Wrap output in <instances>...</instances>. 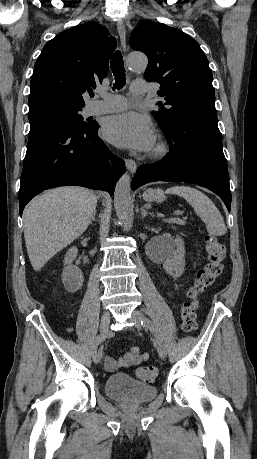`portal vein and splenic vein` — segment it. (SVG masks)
<instances>
[{"mask_svg": "<svg viewBox=\"0 0 257 459\" xmlns=\"http://www.w3.org/2000/svg\"><path fill=\"white\" fill-rule=\"evenodd\" d=\"M170 221L171 222H176V223L182 224V225L185 224V222L183 220L177 219V218H171Z\"/></svg>", "mask_w": 257, "mask_h": 459, "instance_id": "1", "label": "portal vein and splenic vein"}]
</instances>
